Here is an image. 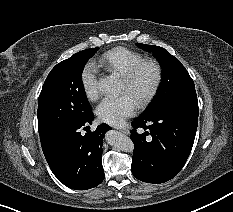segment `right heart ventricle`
Masks as SVG:
<instances>
[{
	"mask_svg": "<svg viewBox=\"0 0 233 212\" xmlns=\"http://www.w3.org/2000/svg\"><path fill=\"white\" fill-rule=\"evenodd\" d=\"M143 59V55L134 50L125 47H115L103 53L96 63L108 72L123 76Z\"/></svg>",
	"mask_w": 233,
	"mask_h": 212,
	"instance_id": "1",
	"label": "right heart ventricle"
}]
</instances>
